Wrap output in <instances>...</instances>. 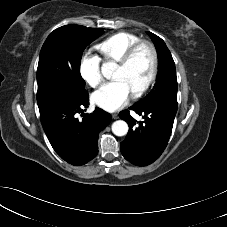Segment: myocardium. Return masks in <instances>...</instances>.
Segmentation results:
<instances>
[{"label": "myocardium", "instance_id": "obj_1", "mask_svg": "<svg viewBox=\"0 0 227 227\" xmlns=\"http://www.w3.org/2000/svg\"><path fill=\"white\" fill-rule=\"evenodd\" d=\"M146 47L150 54H151V71L147 78V80L144 82V84L135 92L132 93V97L134 99L140 98L143 96L149 88L152 86L154 81L156 80L158 69H159V57L158 52L155 47V45L148 41V40H139L138 42L134 43L132 46H130L127 51L124 53L122 58L118 61V66L121 68L127 67L131 61L133 60L136 53L142 48Z\"/></svg>", "mask_w": 227, "mask_h": 227}]
</instances>
